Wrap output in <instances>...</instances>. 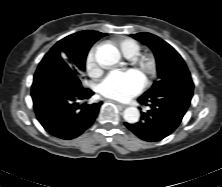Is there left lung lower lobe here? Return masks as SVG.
Returning a JSON list of instances; mask_svg holds the SVG:
<instances>
[{"mask_svg":"<svg viewBox=\"0 0 222 187\" xmlns=\"http://www.w3.org/2000/svg\"><path fill=\"white\" fill-rule=\"evenodd\" d=\"M181 88L180 96L175 99L167 98L166 91L139 97V103L149 104L151 109L141 113L138 123H125V126L145 141H160L170 135L182 121L193 96L192 81L184 82Z\"/></svg>","mask_w":222,"mask_h":187,"instance_id":"0a47b994","label":"left lung lower lobe"}]
</instances>
